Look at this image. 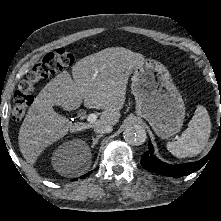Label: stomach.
Wrapping results in <instances>:
<instances>
[{"label":"stomach","mask_w":221,"mask_h":221,"mask_svg":"<svg viewBox=\"0 0 221 221\" xmlns=\"http://www.w3.org/2000/svg\"><path fill=\"white\" fill-rule=\"evenodd\" d=\"M131 80L137 114L162 139L178 133L185 118V104L167 68L156 60L146 59L135 67Z\"/></svg>","instance_id":"obj_1"}]
</instances>
